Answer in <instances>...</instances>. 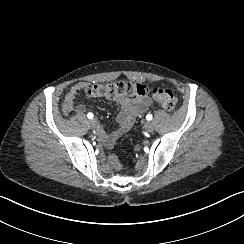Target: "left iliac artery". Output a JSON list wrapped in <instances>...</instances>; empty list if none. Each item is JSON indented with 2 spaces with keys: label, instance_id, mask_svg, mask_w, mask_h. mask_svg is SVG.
<instances>
[{
  "label": "left iliac artery",
  "instance_id": "left-iliac-artery-1",
  "mask_svg": "<svg viewBox=\"0 0 244 244\" xmlns=\"http://www.w3.org/2000/svg\"><path fill=\"white\" fill-rule=\"evenodd\" d=\"M146 119H147V120H151V119H152V115H151V114H148V115L146 116Z\"/></svg>",
  "mask_w": 244,
  "mask_h": 244
}]
</instances>
